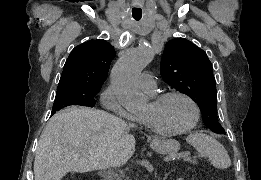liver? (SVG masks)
Here are the masks:
<instances>
[{"instance_id": "liver-1", "label": "liver", "mask_w": 261, "mask_h": 180, "mask_svg": "<svg viewBox=\"0 0 261 180\" xmlns=\"http://www.w3.org/2000/svg\"><path fill=\"white\" fill-rule=\"evenodd\" d=\"M135 152L126 122L90 108H65L50 118L38 142L35 180H62L68 172L119 168Z\"/></svg>"}]
</instances>
